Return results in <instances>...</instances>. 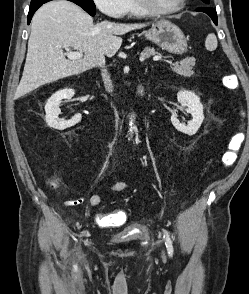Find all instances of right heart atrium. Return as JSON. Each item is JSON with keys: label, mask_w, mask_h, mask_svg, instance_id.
Returning a JSON list of instances; mask_svg holds the SVG:
<instances>
[{"label": "right heart atrium", "mask_w": 249, "mask_h": 294, "mask_svg": "<svg viewBox=\"0 0 249 294\" xmlns=\"http://www.w3.org/2000/svg\"><path fill=\"white\" fill-rule=\"evenodd\" d=\"M96 7L110 17H121L125 0H93Z\"/></svg>", "instance_id": "1"}]
</instances>
